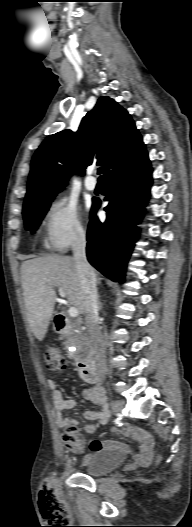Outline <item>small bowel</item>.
I'll return each instance as SVG.
<instances>
[{"instance_id": "1", "label": "small bowel", "mask_w": 192, "mask_h": 527, "mask_svg": "<svg viewBox=\"0 0 192 527\" xmlns=\"http://www.w3.org/2000/svg\"><path fill=\"white\" fill-rule=\"evenodd\" d=\"M48 385L52 391L53 405L57 415V425L62 429H67L71 425H76V419L64 417L62 415L64 411L71 410L75 407V400L72 398H65L57 388L53 379H48ZM83 397L99 406L98 411L86 410L83 414L84 418L90 421L97 420L100 424H106L109 420L110 412L101 387L92 386L84 389ZM97 427V424L90 423L85 425L84 431L87 434H92L96 431ZM121 433L125 437L131 438L138 445L139 452L135 454V459L139 462L141 469H148L154 449L152 437L147 432L129 424H125L121 427ZM106 447H112L123 451L128 450V447L125 444L115 441L96 440L91 443V449L93 451Z\"/></svg>"}]
</instances>
